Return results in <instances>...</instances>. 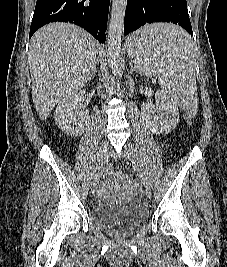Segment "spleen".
<instances>
[{
	"mask_svg": "<svg viewBox=\"0 0 227 267\" xmlns=\"http://www.w3.org/2000/svg\"><path fill=\"white\" fill-rule=\"evenodd\" d=\"M131 36L126 51L140 77H154L184 108L196 109V58L189 35L175 22H151Z\"/></svg>",
	"mask_w": 227,
	"mask_h": 267,
	"instance_id": "3e777b00",
	"label": "spleen"
}]
</instances>
